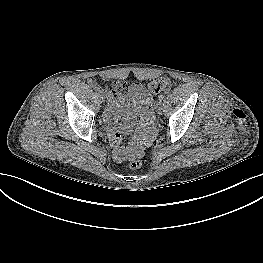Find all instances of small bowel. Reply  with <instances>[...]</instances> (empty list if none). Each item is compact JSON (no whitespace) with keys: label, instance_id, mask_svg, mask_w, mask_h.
Masks as SVG:
<instances>
[{"label":"small bowel","instance_id":"c3829d8e","mask_svg":"<svg viewBox=\"0 0 263 263\" xmlns=\"http://www.w3.org/2000/svg\"><path fill=\"white\" fill-rule=\"evenodd\" d=\"M125 76L126 75L124 73L115 75V77L119 79H123ZM120 89H122V87H120ZM133 91L135 95L141 97L144 101L149 100L148 94L146 93V89L142 85H135L133 87ZM125 132L128 133L127 130ZM138 152H139V146L135 145L133 148L130 149V151L127 154H124V158L132 157Z\"/></svg>","mask_w":263,"mask_h":263}]
</instances>
